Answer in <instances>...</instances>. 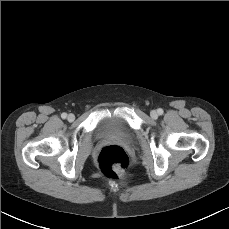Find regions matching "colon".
Masks as SVG:
<instances>
[{"label": "colon", "instance_id": "obj_1", "mask_svg": "<svg viewBox=\"0 0 229 229\" xmlns=\"http://www.w3.org/2000/svg\"><path fill=\"white\" fill-rule=\"evenodd\" d=\"M97 163L105 176H116L128 167L129 158L122 147L109 145L101 149Z\"/></svg>", "mask_w": 229, "mask_h": 229}]
</instances>
